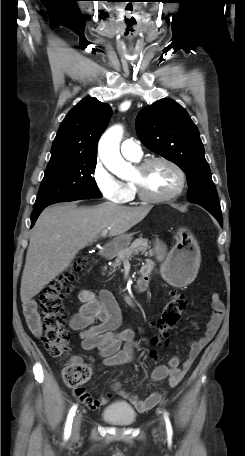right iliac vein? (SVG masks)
Returning a JSON list of instances; mask_svg holds the SVG:
<instances>
[{"instance_id":"1","label":"right iliac vein","mask_w":245,"mask_h":456,"mask_svg":"<svg viewBox=\"0 0 245 456\" xmlns=\"http://www.w3.org/2000/svg\"><path fill=\"white\" fill-rule=\"evenodd\" d=\"M80 423H81V416L77 415L74 420V424H73V428H72V437L73 438H77L79 435Z\"/></svg>"}]
</instances>
